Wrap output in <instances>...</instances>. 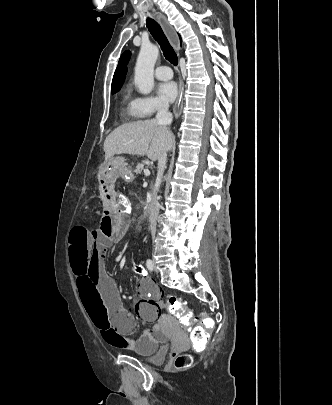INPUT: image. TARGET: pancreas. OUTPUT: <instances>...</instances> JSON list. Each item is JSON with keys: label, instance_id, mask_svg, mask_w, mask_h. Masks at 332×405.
I'll return each instance as SVG.
<instances>
[{"label": "pancreas", "instance_id": "obj_1", "mask_svg": "<svg viewBox=\"0 0 332 405\" xmlns=\"http://www.w3.org/2000/svg\"><path fill=\"white\" fill-rule=\"evenodd\" d=\"M143 170H144V165H143L142 163L137 164V166H136V168H135V172H136L137 174H141Z\"/></svg>", "mask_w": 332, "mask_h": 405}]
</instances>
